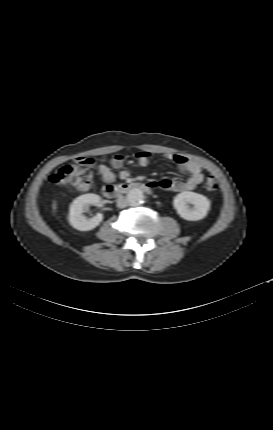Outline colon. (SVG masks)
Returning <instances> with one entry per match:
<instances>
[{"label": "colon", "mask_w": 273, "mask_h": 430, "mask_svg": "<svg viewBox=\"0 0 273 430\" xmlns=\"http://www.w3.org/2000/svg\"><path fill=\"white\" fill-rule=\"evenodd\" d=\"M50 181L58 187H66L79 192L86 191L91 183L87 158L79 157L74 164L60 167L50 176ZM205 188L210 192L215 191L218 188L217 181L209 176L206 179Z\"/></svg>", "instance_id": "obj_1"}]
</instances>
